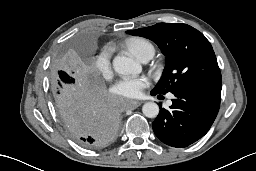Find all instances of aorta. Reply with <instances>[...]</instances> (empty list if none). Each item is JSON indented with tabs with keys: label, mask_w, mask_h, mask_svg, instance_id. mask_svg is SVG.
Segmentation results:
<instances>
[{
	"label": "aorta",
	"mask_w": 256,
	"mask_h": 171,
	"mask_svg": "<svg viewBox=\"0 0 256 171\" xmlns=\"http://www.w3.org/2000/svg\"><path fill=\"white\" fill-rule=\"evenodd\" d=\"M113 68L122 75L139 74L142 70L139 63L126 56H116L113 59ZM142 112L148 118H155L159 114V106L154 102H147L143 105Z\"/></svg>",
	"instance_id": "aorta-1"
}]
</instances>
